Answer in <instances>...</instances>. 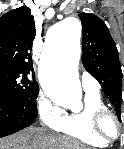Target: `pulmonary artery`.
<instances>
[{
    "instance_id": "pulmonary-artery-1",
    "label": "pulmonary artery",
    "mask_w": 124,
    "mask_h": 149,
    "mask_svg": "<svg viewBox=\"0 0 124 149\" xmlns=\"http://www.w3.org/2000/svg\"><path fill=\"white\" fill-rule=\"evenodd\" d=\"M81 85L84 91H98L100 89L97 80L86 71L81 73Z\"/></svg>"
}]
</instances>
